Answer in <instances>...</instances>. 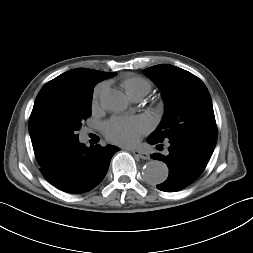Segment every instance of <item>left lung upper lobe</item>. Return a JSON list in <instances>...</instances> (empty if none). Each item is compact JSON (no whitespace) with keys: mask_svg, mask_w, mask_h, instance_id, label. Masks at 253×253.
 Masks as SVG:
<instances>
[{"mask_svg":"<svg viewBox=\"0 0 253 253\" xmlns=\"http://www.w3.org/2000/svg\"><path fill=\"white\" fill-rule=\"evenodd\" d=\"M145 74L159 86L165 101L163 119L150 139L163 142L187 137L216 143L211 97L198 77L169 64L152 66Z\"/></svg>","mask_w":253,"mask_h":253,"instance_id":"obj_1","label":"left lung upper lobe"}]
</instances>
